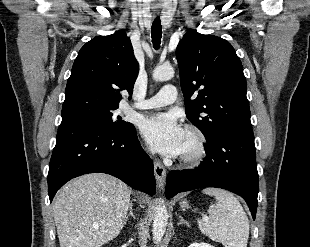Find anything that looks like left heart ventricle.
Here are the masks:
<instances>
[{
    "label": "left heart ventricle",
    "mask_w": 310,
    "mask_h": 247,
    "mask_svg": "<svg viewBox=\"0 0 310 247\" xmlns=\"http://www.w3.org/2000/svg\"><path fill=\"white\" fill-rule=\"evenodd\" d=\"M193 147H194L193 138L185 132L183 143H182V148H181V153L190 151L191 149H193Z\"/></svg>",
    "instance_id": "obj_1"
}]
</instances>
